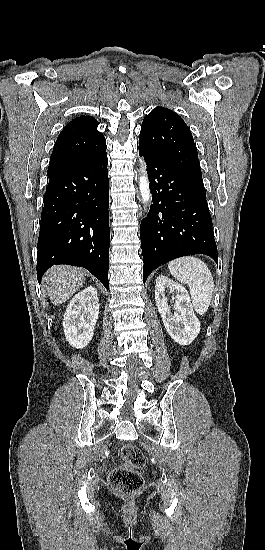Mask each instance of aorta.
I'll return each instance as SVG.
<instances>
[{
  "label": "aorta",
  "instance_id": "aorta-1",
  "mask_svg": "<svg viewBox=\"0 0 265 550\" xmlns=\"http://www.w3.org/2000/svg\"><path fill=\"white\" fill-rule=\"evenodd\" d=\"M139 190L142 197V201L144 204H146L148 201L151 200V192H150L149 182L147 178L146 165L144 161H141Z\"/></svg>",
  "mask_w": 265,
  "mask_h": 550
}]
</instances>
